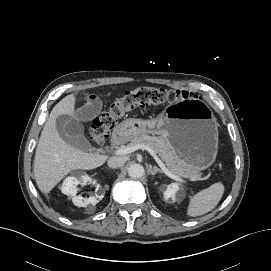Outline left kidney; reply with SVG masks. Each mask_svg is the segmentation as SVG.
Segmentation results:
<instances>
[{
	"label": "left kidney",
	"mask_w": 271,
	"mask_h": 271,
	"mask_svg": "<svg viewBox=\"0 0 271 271\" xmlns=\"http://www.w3.org/2000/svg\"><path fill=\"white\" fill-rule=\"evenodd\" d=\"M178 191L179 186L178 184H171L167 187V189L164 192V197L166 200L172 199V201H176L178 199Z\"/></svg>",
	"instance_id": "5707ae66"
}]
</instances>
